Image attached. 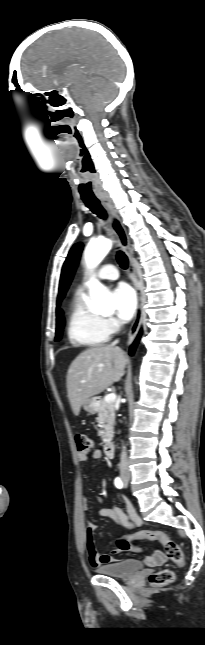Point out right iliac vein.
Masks as SVG:
<instances>
[{
	"label": "right iliac vein",
	"instance_id": "1",
	"mask_svg": "<svg viewBox=\"0 0 205 645\" xmlns=\"http://www.w3.org/2000/svg\"><path fill=\"white\" fill-rule=\"evenodd\" d=\"M123 478L125 481H127L129 479V475H124Z\"/></svg>",
	"mask_w": 205,
	"mask_h": 645
}]
</instances>
